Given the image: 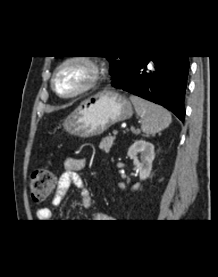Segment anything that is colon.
Listing matches in <instances>:
<instances>
[{
	"label": "colon",
	"instance_id": "1",
	"mask_svg": "<svg viewBox=\"0 0 218 277\" xmlns=\"http://www.w3.org/2000/svg\"><path fill=\"white\" fill-rule=\"evenodd\" d=\"M55 175L48 169H38L30 176L31 196L34 201L46 200L54 190Z\"/></svg>",
	"mask_w": 218,
	"mask_h": 277
}]
</instances>
